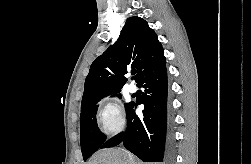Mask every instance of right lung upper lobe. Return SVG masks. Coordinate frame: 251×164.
<instances>
[{
	"label": "right lung upper lobe",
	"instance_id": "cb5924a9",
	"mask_svg": "<svg viewBox=\"0 0 251 164\" xmlns=\"http://www.w3.org/2000/svg\"><path fill=\"white\" fill-rule=\"evenodd\" d=\"M157 35L140 17H129L117 42L92 63L85 80L81 108L96 99L120 92L128 70H137L138 83L147 73L165 64Z\"/></svg>",
	"mask_w": 251,
	"mask_h": 164
}]
</instances>
